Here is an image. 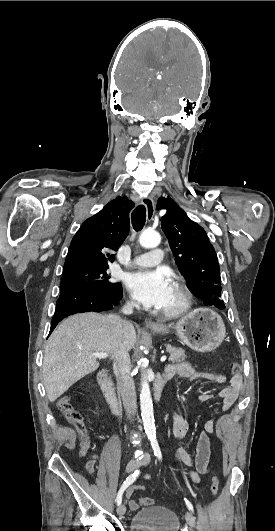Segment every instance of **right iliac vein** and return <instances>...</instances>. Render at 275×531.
<instances>
[{"label": "right iliac vein", "instance_id": "right-iliac-vein-1", "mask_svg": "<svg viewBox=\"0 0 275 531\" xmlns=\"http://www.w3.org/2000/svg\"><path fill=\"white\" fill-rule=\"evenodd\" d=\"M139 466L138 462L135 460V459H131L127 466H126V472L127 473H132L133 471H135L137 469V467ZM126 512V508L124 505L120 504L118 505L117 507V514L119 516H123Z\"/></svg>", "mask_w": 275, "mask_h": 531}]
</instances>
